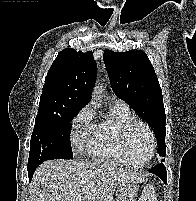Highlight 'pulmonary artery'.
<instances>
[{"label": "pulmonary artery", "mask_w": 196, "mask_h": 201, "mask_svg": "<svg viewBox=\"0 0 196 201\" xmlns=\"http://www.w3.org/2000/svg\"><path fill=\"white\" fill-rule=\"evenodd\" d=\"M115 105L127 107V105H126L125 103H123L122 101H119V100H117V101L115 102Z\"/></svg>", "instance_id": "pulmonary-artery-1"}]
</instances>
